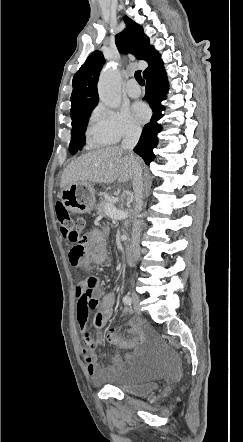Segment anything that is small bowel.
Instances as JSON below:
<instances>
[{
  "label": "small bowel",
  "instance_id": "obj_1",
  "mask_svg": "<svg viewBox=\"0 0 243 442\" xmlns=\"http://www.w3.org/2000/svg\"><path fill=\"white\" fill-rule=\"evenodd\" d=\"M84 242L85 257L79 263H73L69 260L72 266L104 265L110 262L105 229H91L84 235ZM75 294L77 297L76 319L83 343L82 354L86 364V371L95 383H101L112 376L121 361L119 356H114L110 359L107 366H103L100 364L99 356L95 352L96 347L104 340V334L99 329L105 325L113 314L115 294H103L99 285V279L96 276H87L85 282L78 283L75 287ZM94 310H96V313L93 316V324L98 330L92 333L88 327V322ZM128 311V308L124 309V312ZM127 326L130 338L117 334L116 330L112 328L106 335L108 342L125 350H131L136 343H142L145 335L141 324L135 319H130L127 322Z\"/></svg>",
  "mask_w": 243,
  "mask_h": 442
}]
</instances>
